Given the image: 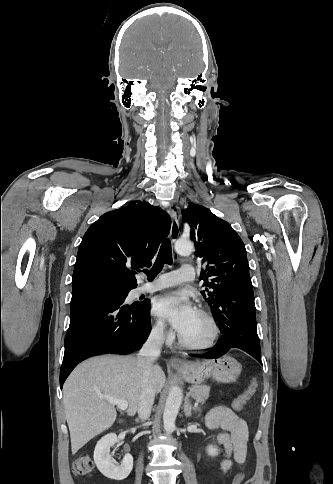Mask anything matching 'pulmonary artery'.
<instances>
[{
  "mask_svg": "<svg viewBox=\"0 0 333 484\" xmlns=\"http://www.w3.org/2000/svg\"><path fill=\"white\" fill-rule=\"evenodd\" d=\"M195 270L191 264H184L178 270L163 273L154 281L143 283L136 289L138 294L152 293L194 280Z\"/></svg>",
  "mask_w": 333,
  "mask_h": 484,
  "instance_id": "obj_1",
  "label": "pulmonary artery"
}]
</instances>
